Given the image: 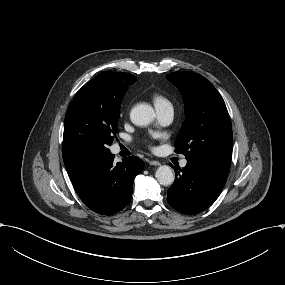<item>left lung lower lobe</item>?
Here are the masks:
<instances>
[{
	"label": "left lung lower lobe",
	"instance_id": "1",
	"mask_svg": "<svg viewBox=\"0 0 285 285\" xmlns=\"http://www.w3.org/2000/svg\"><path fill=\"white\" fill-rule=\"evenodd\" d=\"M175 173L174 184L168 189V203L181 213L195 215L207 209L220 195L228 169L187 161V165Z\"/></svg>",
	"mask_w": 285,
	"mask_h": 285
}]
</instances>
